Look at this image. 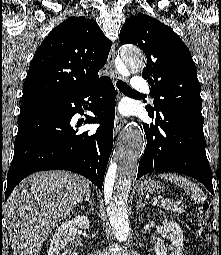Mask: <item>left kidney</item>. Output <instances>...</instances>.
Returning a JSON list of instances; mask_svg holds the SVG:
<instances>
[{
	"label": "left kidney",
	"instance_id": "1",
	"mask_svg": "<svg viewBox=\"0 0 221 255\" xmlns=\"http://www.w3.org/2000/svg\"><path fill=\"white\" fill-rule=\"evenodd\" d=\"M164 235L171 242L168 248L162 242L155 244L156 255H183V231L174 221L164 219Z\"/></svg>",
	"mask_w": 221,
	"mask_h": 255
}]
</instances>
